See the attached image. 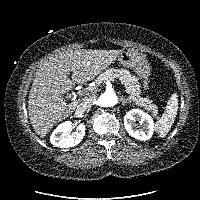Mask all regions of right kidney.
<instances>
[{
    "label": "right kidney",
    "instance_id": "ca27d5eb",
    "mask_svg": "<svg viewBox=\"0 0 200 200\" xmlns=\"http://www.w3.org/2000/svg\"><path fill=\"white\" fill-rule=\"evenodd\" d=\"M72 128L71 121H65L58 125L50 136L52 145L60 148H70L79 144L85 135V125L83 123L79 124L76 131L70 134Z\"/></svg>",
    "mask_w": 200,
    "mask_h": 200
}]
</instances>
